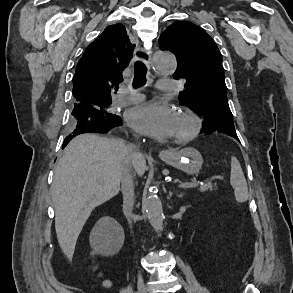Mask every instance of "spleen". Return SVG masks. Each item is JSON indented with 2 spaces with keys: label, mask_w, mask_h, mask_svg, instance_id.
<instances>
[{
  "label": "spleen",
  "mask_w": 293,
  "mask_h": 293,
  "mask_svg": "<svg viewBox=\"0 0 293 293\" xmlns=\"http://www.w3.org/2000/svg\"><path fill=\"white\" fill-rule=\"evenodd\" d=\"M230 184L234 189L236 201L239 203L246 202L249 196L247 182L240 163L234 156L231 158Z\"/></svg>",
  "instance_id": "obj_1"
}]
</instances>
